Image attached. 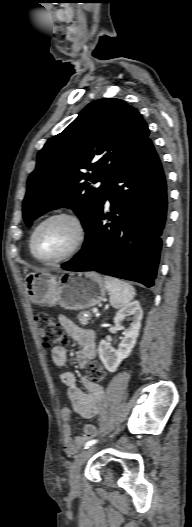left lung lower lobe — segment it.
<instances>
[{
  "label": "left lung lower lobe",
  "mask_w": 192,
  "mask_h": 527,
  "mask_svg": "<svg viewBox=\"0 0 192 527\" xmlns=\"http://www.w3.org/2000/svg\"><path fill=\"white\" fill-rule=\"evenodd\" d=\"M106 199L111 214L103 213ZM167 185L161 161L147 140L109 185L86 230L82 249L62 268L97 271L154 285L167 216ZM105 219L110 220L104 224Z\"/></svg>",
  "instance_id": "left-lung-lower-lobe-1"
}]
</instances>
